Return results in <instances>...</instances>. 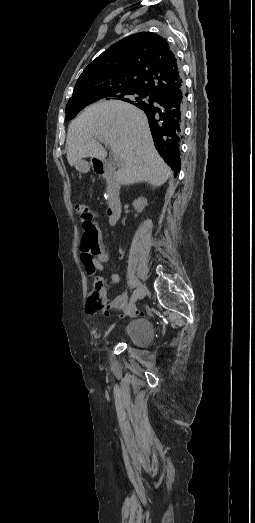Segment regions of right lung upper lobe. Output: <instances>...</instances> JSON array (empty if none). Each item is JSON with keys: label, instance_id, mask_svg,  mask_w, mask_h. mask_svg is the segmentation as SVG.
Instances as JSON below:
<instances>
[{"label": "right lung upper lobe", "instance_id": "1", "mask_svg": "<svg viewBox=\"0 0 255 523\" xmlns=\"http://www.w3.org/2000/svg\"><path fill=\"white\" fill-rule=\"evenodd\" d=\"M126 92L150 95L148 102L139 100L131 104L145 112L156 149L177 173L181 166L179 145L187 93L180 65L166 39L155 33L140 32L113 44L84 69L67 105L91 103ZM174 96L182 101L175 110L178 126L172 141L165 144L158 138L160 122L152 113L159 102Z\"/></svg>", "mask_w": 255, "mask_h": 523}]
</instances>
